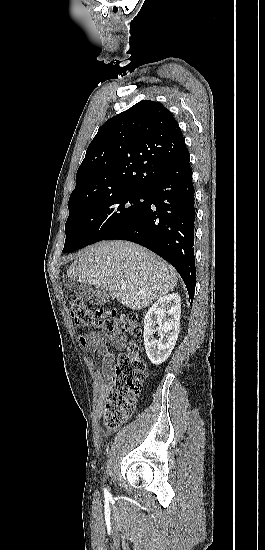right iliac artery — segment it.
Instances as JSON below:
<instances>
[{
    "label": "right iliac artery",
    "mask_w": 265,
    "mask_h": 550,
    "mask_svg": "<svg viewBox=\"0 0 265 550\" xmlns=\"http://www.w3.org/2000/svg\"><path fill=\"white\" fill-rule=\"evenodd\" d=\"M104 492H105V494H108V492H107V490H106V489H104Z\"/></svg>",
    "instance_id": "right-iliac-artery-1"
}]
</instances>
